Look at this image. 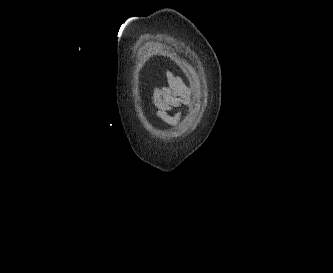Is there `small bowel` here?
I'll return each mask as SVG.
<instances>
[{"label":"small bowel","mask_w":333,"mask_h":273,"mask_svg":"<svg viewBox=\"0 0 333 273\" xmlns=\"http://www.w3.org/2000/svg\"><path fill=\"white\" fill-rule=\"evenodd\" d=\"M179 86L172 74L167 75V84L164 86H158L153 93V103L157 107V116L171 120V117L167 113L170 106L177 102L179 99L175 96L178 92Z\"/></svg>","instance_id":"c3829d8e"}]
</instances>
